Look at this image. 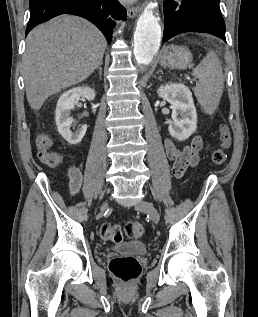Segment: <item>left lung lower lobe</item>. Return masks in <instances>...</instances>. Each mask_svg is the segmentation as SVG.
<instances>
[{"instance_id":"left-lung-lower-lobe-1","label":"left lung lower lobe","mask_w":258,"mask_h":317,"mask_svg":"<svg viewBox=\"0 0 258 317\" xmlns=\"http://www.w3.org/2000/svg\"><path fill=\"white\" fill-rule=\"evenodd\" d=\"M220 0H164L163 42L184 32L209 33L225 39Z\"/></svg>"}]
</instances>
